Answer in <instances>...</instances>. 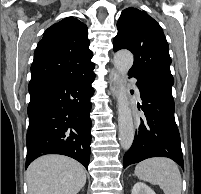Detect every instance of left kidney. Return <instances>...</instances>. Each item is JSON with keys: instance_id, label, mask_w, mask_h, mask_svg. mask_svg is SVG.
<instances>
[{"instance_id": "1", "label": "left kidney", "mask_w": 201, "mask_h": 194, "mask_svg": "<svg viewBox=\"0 0 201 194\" xmlns=\"http://www.w3.org/2000/svg\"><path fill=\"white\" fill-rule=\"evenodd\" d=\"M131 194H156L148 185L137 182L132 189Z\"/></svg>"}]
</instances>
